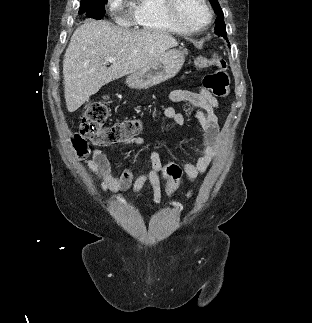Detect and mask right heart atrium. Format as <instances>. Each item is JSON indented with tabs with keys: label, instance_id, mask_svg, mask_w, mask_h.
<instances>
[{
	"label": "right heart atrium",
	"instance_id": "1",
	"mask_svg": "<svg viewBox=\"0 0 312 323\" xmlns=\"http://www.w3.org/2000/svg\"><path fill=\"white\" fill-rule=\"evenodd\" d=\"M105 5H115L117 9H120L122 7V4L118 0H105ZM125 15L127 17H130L132 15V12L130 10H127L125 12Z\"/></svg>",
	"mask_w": 312,
	"mask_h": 323
}]
</instances>
